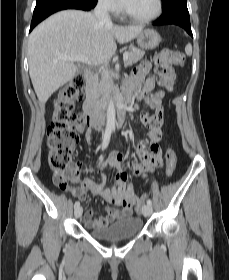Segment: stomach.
Here are the masks:
<instances>
[{
    "instance_id": "1",
    "label": "stomach",
    "mask_w": 229,
    "mask_h": 280,
    "mask_svg": "<svg viewBox=\"0 0 229 280\" xmlns=\"http://www.w3.org/2000/svg\"><path fill=\"white\" fill-rule=\"evenodd\" d=\"M160 42L159 33L153 29H145L137 36V43L142 49H154Z\"/></svg>"
}]
</instances>
